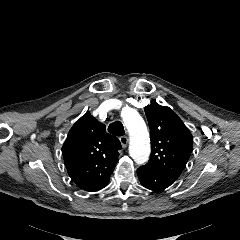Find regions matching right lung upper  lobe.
Masks as SVG:
<instances>
[{
  "instance_id": "cb5924a9",
  "label": "right lung upper lobe",
  "mask_w": 240,
  "mask_h": 240,
  "mask_svg": "<svg viewBox=\"0 0 240 240\" xmlns=\"http://www.w3.org/2000/svg\"><path fill=\"white\" fill-rule=\"evenodd\" d=\"M121 148L118 138L108 134L105 125L87 112L70 129L62 153L75 184L95 192L107 185Z\"/></svg>"
}]
</instances>
